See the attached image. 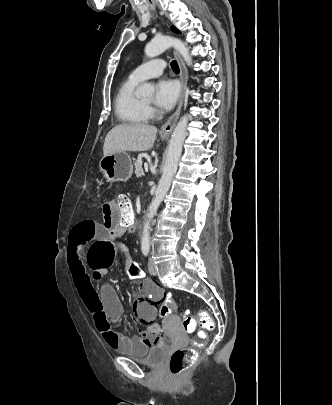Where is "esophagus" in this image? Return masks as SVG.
<instances>
[{
  "instance_id": "obj_1",
  "label": "esophagus",
  "mask_w": 332,
  "mask_h": 405,
  "mask_svg": "<svg viewBox=\"0 0 332 405\" xmlns=\"http://www.w3.org/2000/svg\"><path fill=\"white\" fill-rule=\"evenodd\" d=\"M174 55L178 61L179 67H180V72H181L180 80H181V84H182V89H181V94H180L177 110L169 117V119L165 122V124L162 126V128L160 130V133L164 136H167L172 132V130L179 118L182 103H183L184 93H185V89H186V85H187V78H188L187 70H186L185 64H184L181 56L177 52H174Z\"/></svg>"
}]
</instances>
